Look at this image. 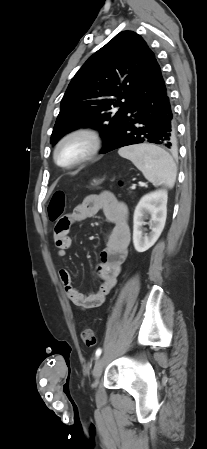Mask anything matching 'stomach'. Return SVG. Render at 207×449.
<instances>
[{
  "mask_svg": "<svg viewBox=\"0 0 207 449\" xmlns=\"http://www.w3.org/2000/svg\"><path fill=\"white\" fill-rule=\"evenodd\" d=\"M102 180H93V185L100 184Z\"/></svg>",
  "mask_w": 207,
  "mask_h": 449,
  "instance_id": "stomach-1",
  "label": "stomach"
}]
</instances>
